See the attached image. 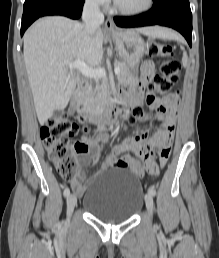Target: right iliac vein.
<instances>
[{"instance_id":"63e3f726","label":"right iliac vein","mask_w":219,"mask_h":258,"mask_svg":"<svg viewBox=\"0 0 219 258\" xmlns=\"http://www.w3.org/2000/svg\"><path fill=\"white\" fill-rule=\"evenodd\" d=\"M77 204V198L74 194H70L67 197V214L70 217L75 206Z\"/></svg>"}]
</instances>
